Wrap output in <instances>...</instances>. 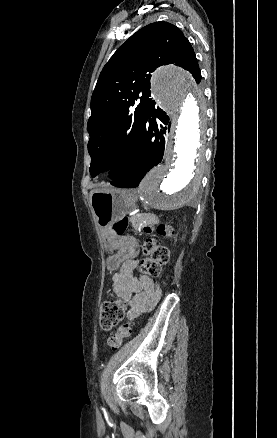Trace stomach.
Here are the masks:
<instances>
[{
  "instance_id": "stomach-1",
  "label": "stomach",
  "mask_w": 277,
  "mask_h": 438,
  "mask_svg": "<svg viewBox=\"0 0 277 438\" xmlns=\"http://www.w3.org/2000/svg\"><path fill=\"white\" fill-rule=\"evenodd\" d=\"M97 223L101 228V240L106 251L117 250V254L107 259V268L114 270L125 260L130 249V240L115 234L111 227L136 208L133 193L128 189H102L90 198Z\"/></svg>"
}]
</instances>
